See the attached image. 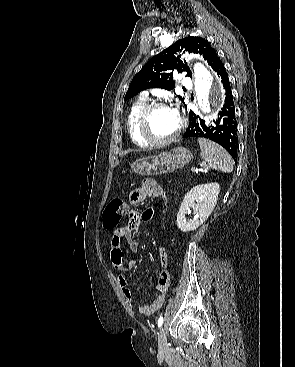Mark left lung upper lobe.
I'll list each match as a JSON object with an SVG mask.
<instances>
[{
	"label": "left lung upper lobe",
	"mask_w": 295,
	"mask_h": 367,
	"mask_svg": "<svg viewBox=\"0 0 295 367\" xmlns=\"http://www.w3.org/2000/svg\"><path fill=\"white\" fill-rule=\"evenodd\" d=\"M185 51L202 55L212 68L219 59L216 51L206 39L196 36L179 39L142 67L140 72L133 77L124 100L149 88L174 89V73L187 72L186 76L191 77L189 67L180 59V54ZM178 98L184 103L183 98L180 96Z\"/></svg>",
	"instance_id": "5c2ea615"
}]
</instances>
